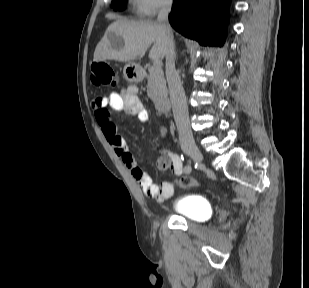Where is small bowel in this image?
I'll use <instances>...</instances> for the list:
<instances>
[{"label":"small bowel","instance_id":"small-bowel-1","mask_svg":"<svg viewBox=\"0 0 309 288\" xmlns=\"http://www.w3.org/2000/svg\"><path fill=\"white\" fill-rule=\"evenodd\" d=\"M93 108L103 137L128 168L132 176L139 182L145 196L159 202L170 198L174 194V184L170 181L157 184L152 180L149 174L138 164L128 147L126 139L118 133L111 117L110 110H114L130 114L140 122H146L149 119L148 111L137 97V87L131 86L121 92H112L105 97H99L94 100ZM160 133L164 137L166 129L162 127ZM156 162L161 170L170 169L177 175H180L183 171L181 159L171 151H161L157 156Z\"/></svg>","mask_w":309,"mask_h":288}]
</instances>
